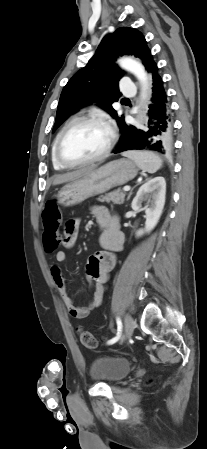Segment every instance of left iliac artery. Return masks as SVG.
I'll use <instances>...</instances> for the list:
<instances>
[{
    "instance_id": "left-iliac-artery-1",
    "label": "left iliac artery",
    "mask_w": 207,
    "mask_h": 449,
    "mask_svg": "<svg viewBox=\"0 0 207 449\" xmlns=\"http://www.w3.org/2000/svg\"><path fill=\"white\" fill-rule=\"evenodd\" d=\"M116 322H117L118 332H117V335H116L114 338H112L111 340L108 341V344H109V345L114 344V343L117 342V341L119 340V338L121 337V332H122V322H121V319H120L119 317H117Z\"/></svg>"
}]
</instances>
